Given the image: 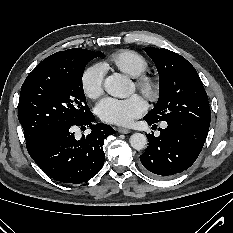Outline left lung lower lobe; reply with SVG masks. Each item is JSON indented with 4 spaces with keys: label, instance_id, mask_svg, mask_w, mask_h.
Masks as SVG:
<instances>
[{
    "label": "left lung lower lobe",
    "instance_id": "obj_1",
    "mask_svg": "<svg viewBox=\"0 0 233 233\" xmlns=\"http://www.w3.org/2000/svg\"><path fill=\"white\" fill-rule=\"evenodd\" d=\"M152 125L155 122L145 119ZM160 135L147 134L149 145L140 156L142 165L151 173L171 176L188 169L200 154L209 127L190 120L167 121Z\"/></svg>",
    "mask_w": 233,
    "mask_h": 233
}]
</instances>
